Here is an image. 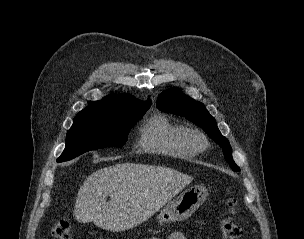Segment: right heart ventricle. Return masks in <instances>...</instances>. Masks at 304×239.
<instances>
[{"instance_id": "obj_1", "label": "right heart ventricle", "mask_w": 304, "mask_h": 239, "mask_svg": "<svg viewBox=\"0 0 304 239\" xmlns=\"http://www.w3.org/2000/svg\"><path fill=\"white\" fill-rule=\"evenodd\" d=\"M186 128L168 117L156 114L139 129V145L148 152L177 158H192L196 153L184 142Z\"/></svg>"}]
</instances>
